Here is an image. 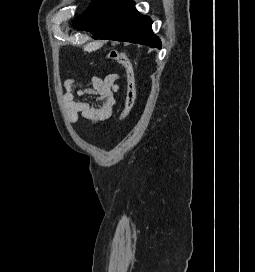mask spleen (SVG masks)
I'll list each match as a JSON object with an SVG mask.
<instances>
[{
    "instance_id": "obj_1",
    "label": "spleen",
    "mask_w": 255,
    "mask_h": 272,
    "mask_svg": "<svg viewBox=\"0 0 255 272\" xmlns=\"http://www.w3.org/2000/svg\"><path fill=\"white\" fill-rule=\"evenodd\" d=\"M102 46L100 42H90L84 46V51L92 52L99 49Z\"/></svg>"
}]
</instances>
